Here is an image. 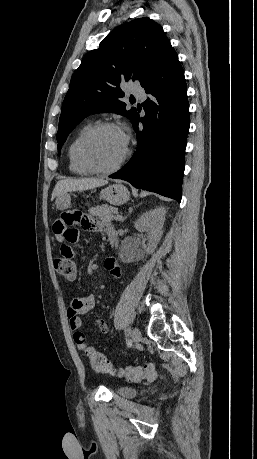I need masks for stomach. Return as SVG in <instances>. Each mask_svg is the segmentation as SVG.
Segmentation results:
<instances>
[{
    "label": "stomach",
    "instance_id": "1",
    "mask_svg": "<svg viewBox=\"0 0 257 459\" xmlns=\"http://www.w3.org/2000/svg\"><path fill=\"white\" fill-rule=\"evenodd\" d=\"M100 197L113 205H122L129 200L130 193L124 185L116 183L103 189ZM55 204L57 209L65 210L67 205H71L70 194L65 193L58 196Z\"/></svg>",
    "mask_w": 257,
    "mask_h": 459
}]
</instances>
